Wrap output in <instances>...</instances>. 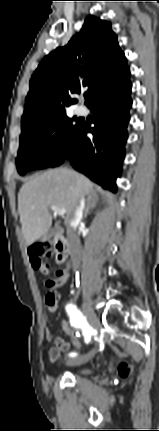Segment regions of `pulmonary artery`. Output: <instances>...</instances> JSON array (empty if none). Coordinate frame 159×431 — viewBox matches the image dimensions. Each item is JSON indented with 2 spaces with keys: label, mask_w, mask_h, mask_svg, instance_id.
<instances>
[{
  "label": "pulmonary artery",
  "mask_w": 159,
  "mask_h": 431,
  "mask_svg": "<svg viewBox=\"0 0 159 431\" xmlns=\"http://www.w3.org/2000/svg\"><path fill=\"white\" fill-rule=\"evenodd\" d=\"M76 113L78 115H85L87 113V109L84 106H79L76 108Z\"/></svg>",
  "instance_id": "pulmonary-artery-1"
}]
</instances>
